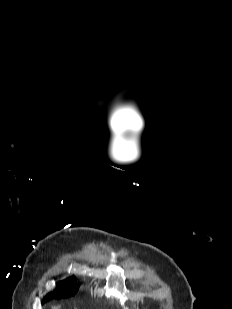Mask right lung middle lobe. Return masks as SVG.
<instances>
[{
  "mask_svg": "<svg viewBox=\"0 0 232 309\" xmlns=\"http://www.w3.org/2000/svg\"><path fill=\"white\" fill-rule=\"evenodd\" d=\"M75 292H76L75 283L70 284V285H65V286H57L56 290L47 294L42 300V302H46L52 299V297H56V296L69 297V296H72Z\"/></svg>",
  "mask_w": 232,
  "mask_h": 309,
  "instance_id": "obj_1",
  "label": "right lung middle lobe"
}]
</instances>
